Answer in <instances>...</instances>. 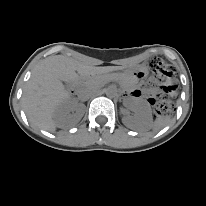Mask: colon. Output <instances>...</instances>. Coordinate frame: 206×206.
Returning <instances> with one entry per match:
<instances>
[{"instance_id": "obj_1", "label": "colon", "mask_w": 206, "mask_h": 206, "mask_svg": "<svg viewBox=\"0 0 206 206\" xmlns=\"http://www.w3.org/2000/svg\"><path fill=\"white\" fill-rule=\"evenodd\" d=\"M155 73L157 77L161 78L162 80H166V88L164 89L168 96H173L175 94L174 91V72H172L170 65L159 62L157 67L155 68ZM155 108L157 113L160 117L167 116V114L171 110V102L169 97L167 98H160L155 103Z\"/></svg>"}]
</instances>
